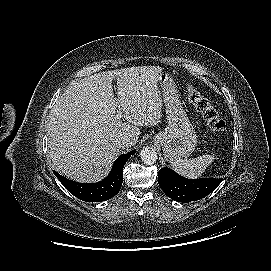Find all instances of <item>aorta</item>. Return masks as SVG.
I'll use <instances>...</instances> for the list:
<instances>
[{
  "mask_svg": "<svg viewBox=\"0 0 271 271\" xmlns=\"http://www.w3.org/2000/svg\"><path fill=\"white\" fill-rule=\"evenodd\" d=\"M140 156L141 160L147 165L154 164L157 161L156 151L149 146H146L141 150Z\"/></svg>",
  "mask_w": 271,
  "mask_h": 271,
  "instance_id": "aorta-1",
  "label": "aorta"
}]
</instances>
